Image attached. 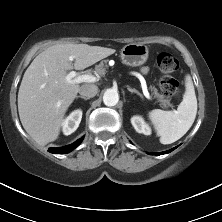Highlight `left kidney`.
<instances>
[{
	"mask_svg": "<svg viewBox=\"0 0 222 222\" xmlns=\"http://www.w3.org/2000/svg\"><path fill=\"white\" fill-rule=\"evenodd\" d=\"M131 123L134 127V129L138 133H143L144 135H150L151 134V128L145 121L143 120L142 117L140 116H133L131 118Z\"/></svg>",
	"mask_w": 222,
	"mask_h": 222,
	"instance_id": "5707ae66",
	"label": "left kidney"
}]
</instances>
